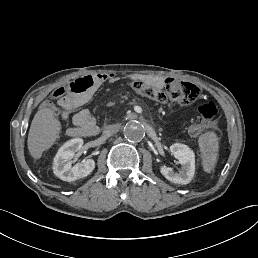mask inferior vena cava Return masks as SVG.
<instances>
[{
  "label": "inferior vena cava",
  "mask_w": 258,
  "mask_h": 258,
  "mask_svg": "<svg viewBox=\"0 0 258 258\" xmlns=\"http://www.w3.org/2000/svg\"><path fill=\"white\" fill-rule=\"evenodd\" d=\"M120 127L118 125H108L104 131L103 134L105 136H111L119 131Z\"/></svg>",
  "instance_id": "inferior-vena-cava-1"
}]
</instances>
